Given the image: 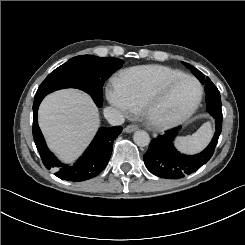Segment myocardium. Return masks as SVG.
I'll list each match as a JSON object with an SVG mask.
<instances>
[{
    "mask_svg": "<svg viewBox=\"0 0 245 245\" xmlns=\"http://www.w3.org/2000/svg\"><path fill=\"white\" fill-rule=\"evenodd\" d=\"M189 80L192 81L197 87V96L194 103L183 113L179 115H172L168 113H162L159 110V105L155 100L156 95L160 90L165 87L171 86L179 81ZM203 96V88L200 82L189 75H183L179 77L159 79L152 84V86L145 93L142 100V108L146 120L151 126L155 128H168L179 124L189 118L199 106Z\"/></svg>",
    "mask_w": 245,
    "mask_h": 245,
    "instance_id": "1",
    "label": "myocardium"
}]
</instances>
